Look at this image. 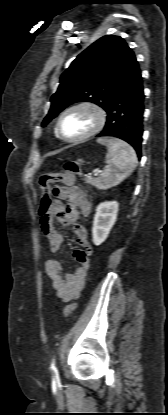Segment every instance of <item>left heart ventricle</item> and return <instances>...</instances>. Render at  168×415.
Segmentation results:
<instances>
[{
  "label": "left heart ventricle",
  "mask_w": 168,
  "mask_h": 415,
  "mask_svg": "<svg viewBox=\"0 0 168 415\" xmlns=\"http://www.w3.org/2000/svg\"><path fill=\"white\" fill-rule=\"evenodd\" d=\"M94 123L95 116L90 110L77 109L64 116L61 129L66 137L75 138L88 132Z\"/></svg>",
  "instance_id": "left-heart-ventricle-1"
}]
</instances>
